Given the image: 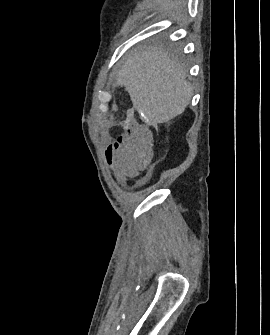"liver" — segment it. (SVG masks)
<instances>
[{
	"instance_id": "6515ba94",
	"label": "liver",
	"mask_w": 270,
	"mask_h": 335,
	"mask_svg": "<svg viewBox=\"0 0 270 335\" xmlns=\"http://www.w3.org/2000/svg\"><path fill=\"white\" fill-rule=\"evenodd\" d=\"M118 84L125 86L133 108L144 114L148 126L183 114L193 92L181 64L167 58L158 46L125 54Z\"/></svg>"
}]
</instances>
